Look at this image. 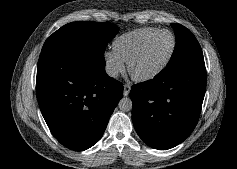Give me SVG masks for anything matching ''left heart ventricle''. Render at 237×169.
Wrapping results in <instances>:
<instances>
[{
    "label": "left heart ventricle",
    "instance_id": "b2bd125f",
    "mask_svg": "<svg viewBox=\"0 0 237 169\" xmlns=\"http://www.w3.org/2000/svg\"><path fill=\"white\" fill-rule=\"evenodd\" d=\"M171 47L172 39L168 33L157 36L134 63V72L136 74H145L157 68L166 59Z\"/></svg>",
    "mask_w": 237,
    "mask_h": 169
}]
</instances>
